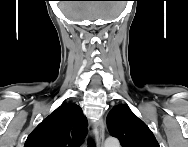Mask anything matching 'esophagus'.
I'll return each mask as SVG.
<instances>
[{"label": "esophagus", "instance_id": "esophagus-1", "mask_svg": "<svg viewBox=\"0 0 188 147\" xmlns=\"http://www.w3.org/2000/svg\"><path fill=\"white\" fill-rule=\"evenodd\" d=\"M93 132L95 135V141H96L97 147H103L105 125H104V121L102 118H98L93 122Z\"/></svg>", "mask_w": 188, "mask_h": 147}]
</instances>
